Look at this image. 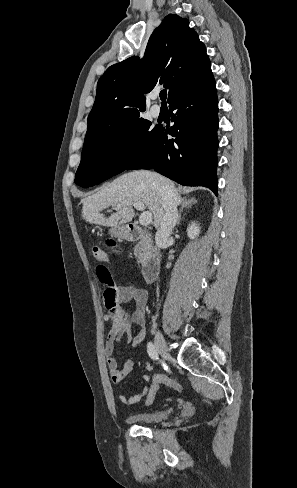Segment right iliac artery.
I'll list each match as a JSON object with an SVG mask.
<instances>
[{"mask_svg": "<svg viewBox=\"0 0 297 488\" xmlns=\"http://www.w3.org/2000/svg\"><path fill=\"white\" fill-rule=\"evenodd\" d=\"M147 352L152 359H154V360L158 359L157 349L152 342H149L147 344Z\"/></svg>", "mask_w": 297, "mask_h": 488, "instance_id": "82829eb1", "label": "right iliac artery"}]
</instances>
